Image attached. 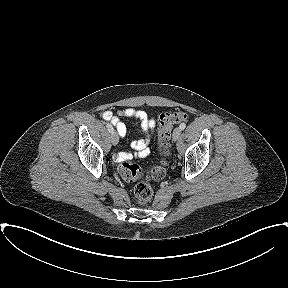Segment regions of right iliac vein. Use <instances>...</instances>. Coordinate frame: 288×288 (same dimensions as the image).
I'll list each match as a JSON object with an SVG mask.
<instances>
[{"mask_svg":"<svg viewBox=\"0 0 288 288\" xmlns=\"http://www.w3.org/2000/svg\"><path fill=\"white\" fill-rule=\"evenodd\" d=\"M119 138L116 132L111 133V142L115 146L118 144Z\"/></svg>","mask_w":288,"mask_h":288,"instance_id":"obj_1","label":"right iliac vein"}]
</instances>
